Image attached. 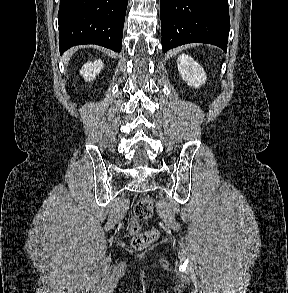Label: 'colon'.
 I'll return each mask as SVG.
<instances>
[{
	"label": "colon",
	"instance_id": "obj_1",
	"mask_svg": "<svg viewBox=\"0 0 288 293\" xmlns=\"http://www.w3.org/2000/svg\"><path fill=\"white\" fill-rule=\"evenodd\" d=\"M153 214V201L149 197L140 199L134 206L131 220V242L135 249L141 250L155 241L158 237L156 230H141L138 222L150 218Z\"/></svg>",
	"mask_w": 288,
	"mask_h": 293
}]
</instances>
